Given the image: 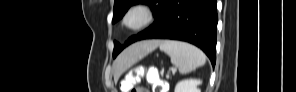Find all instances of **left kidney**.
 <instances>
[{
    "instance_id": "obj_1",
    "label": "left kidney",
    "mask_w": 296,
    "mask_h": 92,
    "mask_svg": "<svg viewBox=\"0 0 296 92\" xmlns=\"http://www.w3.org/2000/svg\"><path fill=\"white\" fill-rule=\"evenodd\" d=\"M202 82L197 79H186L177 83L174 92H201L198 85Z\"/></svg>"
}]
</instances>
